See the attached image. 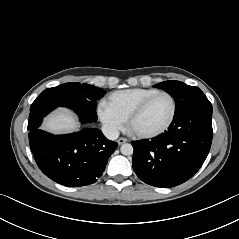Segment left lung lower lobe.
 Instances as JSON below:
<instances>
[{
  "label": "left lung lower lobe",
  "instance_id": "obj_1",
  "mask_svg": "<svg viewBox=\"0 0 239 239\" xmlns=\"http://www.w3.org/2000/svg\"><path fill=\"white\" fill-rule=\"evenodd\" d=\"M212 105L189 108L164 134L152 141L132 142V165L145 183L170 188L190 179L205 161L212 142Z\"/></svg>",
  "mask_w": 239,
  "mask_h": 239
}]
</instances>
